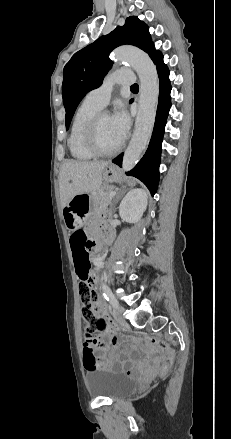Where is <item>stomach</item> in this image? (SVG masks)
I'll return each mask as SVG.
<instances>
[{
    "label": "stomach",
    "instance_id": "0dacf381",
    "mask_svg": "<svg viewBox=\"0 0 231 439\" xmlns=\"http://www.w3.org/2000/svg\"><path fill=\"white\" fill-rule=\"evenodd\" d=\"M103 179L107 183L118 182L120 175L116 167L113 165L105 167ZM92 196L88 193H79L63 207V217L68 229L75 230L79 228L85 217L92 212Z\"/></svg>",
    "mask_w": 231,
    "mask_h": 439
}]
</instances>
